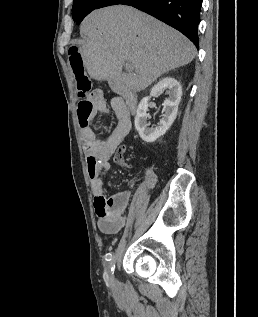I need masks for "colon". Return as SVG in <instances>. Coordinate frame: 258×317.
<instances>
[{"label": "colon", "mask_w": 258, "mask_h": 317, "mask_svg": "<svg viewBox=\"0 0 258 317\" xmlns=\"http://www.w3.org/2000/svg\"><path fill=\"white\" fill-rule=\"evenodd\" d=\"M68 59L71 69L74 73L76 81V90L81 100H86L92 89V82L87 74L84 66L83 58L77 46L73 45L68 50ZM125 147L120 146L115 153V161L119 164H124Z\"/></svg>", "instance_id": "1"}]
</instances>
